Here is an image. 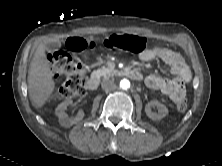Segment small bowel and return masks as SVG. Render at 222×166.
Listing matches in <instances>:
<instances>
[{
	"label": "small bowel",
	"instance_id": "obj_1",
	"mask_svg": "<svg viewBox=\"0 0 222 166\" xmlns=\"http://www.w3.org/2000/svg\"><path fill=\"white\" fill-rule=\"evenodd\" d=\"M139 58L145 62L159 58L170 66L174 75L173 79H166L155 74L149 75L145 79L148 88L161 91L175 104L185 97V84L191 80V71L178 52L168 47L157 46L142 51Z\"/></svg>",
	"mask_w": 222,
	"mask_h": 166
}]
</instances>
